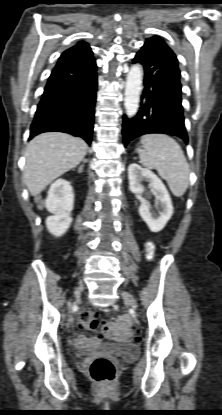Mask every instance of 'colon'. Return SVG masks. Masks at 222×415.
Returning a JSON list of instances; mask_svg holds the SVG:
<instances>
[{
	"instance_id": "colon-1",
	"label": "colon",
	"mask_w": 222,
	"mask_h": 415,
	"mask_svg": "<svg viewBox=\"0 0 222 415\" xmlns=\"http://www.w3.org/2000/svg\"><path fill=\"white\" fill-rule=\"evenodd\" d=\"M79 327L98 336H107L113 340L136 339L139 337L137 328L126 329L120 322L109 323L103 320L98 313L83 311L79 316ZM91 377L98 382L113 380L115 365L105 357L94 359L89 366Z\"/></svg>"
}]
</instances>
